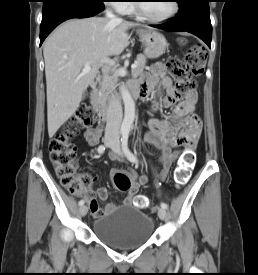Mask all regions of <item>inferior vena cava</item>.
<instances>
[{"label":"inferior vena cava","instance_id":"602c4592","mask_svg":"<svg viewBox=\"0 0 258 275\" xmlns=\"http://www.w3.org/2000/svg\"><path fill=\"white\" fill-rule=\"evenodd\" d=\"M106 17L112 23L122 22V19L115 16L113 12L109 9L106 10ZM121 121L122 106L117 96L112 93L107 108L105 136L118 137Z\"/></svg>","mask_w":258,"mask_h":275}]
</instances>
